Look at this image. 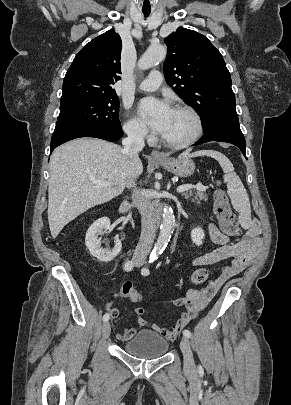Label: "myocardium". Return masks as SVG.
<instances>
[{"label": "myocardium", "mask_w": 291, "mask_h": 405, "mask_svg": "<svg viewBox=\"0 0 291 405\" xmlns=\"http://www.w3.org/2000/svg\"><path fill=\"white\" fill-rule=\"evenodd\" d=\"M173 109L176 110H181L187 112L193 119L194 121V132L192 135L183 140V141H170L166 138H164L162 135L160 136V141L162 144L169 148L173 149H182L186 148L192 144H194L202 135L203 133V122L202 118L199 115V113L191 106L186 105V104H177L173 107Z\"/></svg>", "instance_id": "1"}]
</instances>
